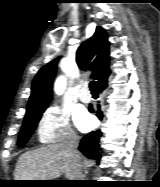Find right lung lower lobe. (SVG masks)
<instances>
[{
	"mask_svg": "<svg viewBox=\"0 0 160 187\" xmlns=\"http://www.w3.org/2000/svg\"><path fill=\"white\" fill-rule=\"evenodd\" d=\"M107 87V78L99 82L98 84V90L99 92H102L103 89ZM90 112H94L92 107L89 108ZM96 116L102 120L103 114L100 110V107H98V110L96 111ZM102 136V132L100 130L91 132L83 137V139L80 142L79 150L88 158L99 160L101 158L100 154V137ZM77 186L87 187L86 183L83 184H77Z\"/></svg>",
	"mask_w": 160,
	"mask_h": 187,
	"instance_id": "98d812e1",
	"label": "right lung lower lobe"
}]
</instances>
